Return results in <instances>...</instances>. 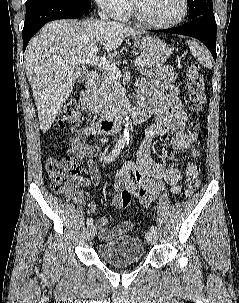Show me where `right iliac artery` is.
Masks as SVG:
<instances>
[{"label": "right iliac artery", "mask_w": 239, "mask_h": 303, "mask_svg": "<svg viewBox=\"0 0 239 303\" xmlns=\"http://www.w3.org/2000/svg\"><path fill=\"white\" fill-rule=\"evenodd\" d=\"M123 147H124V141H118L117 144L115 145L114 149L112 150V152L104 158V162L105 163L112 162L120 154ZM87 224L92 225L93 224V218H91V217L88 218L87 219Z\"/></svg>", "instance_id": "82829eb1"}]
</instances>
